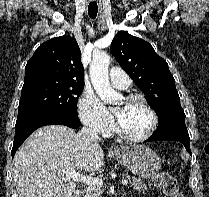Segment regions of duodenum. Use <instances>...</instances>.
<instances>
[{
    "label": "duodenum",
    "instance_id": "1",
    "mask_svg": "<svg viewBox=\"0 0 209 197\" xmlns=\"http://www.w3.org/2000/svg\"><path fill=\"white\" fill-rule=\"evenodd\" d=\"M72 197H79V194L76 193Z\"/></svg>",
    "mask_w": 209,
    "mask_h": 197
}]
</instances>
